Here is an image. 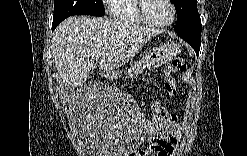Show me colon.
<instances>
[{
    "instance_id": "obj_1",
    "label": "colon",
    "mask_w": 247,
    "mask_h": 156,
    "mask_svg": "<svg viewBox=\"0 0 247 156\" xmlns=\"http://www.w3.org/2000/svg\"><path fill=\"white\" fill-rule=\"evenodd\" d=\"M186 69V59L184 56H176L170 65L166 68L164 74V87L167 94L173 97L177 94L176 74L183 72ZM151 114L147 116V129L144 130L143 135L147 139L157 137L159 130H162L164 118L167 117L165 110L162 107H151Z\"/></svg>"
}]
</instances>
